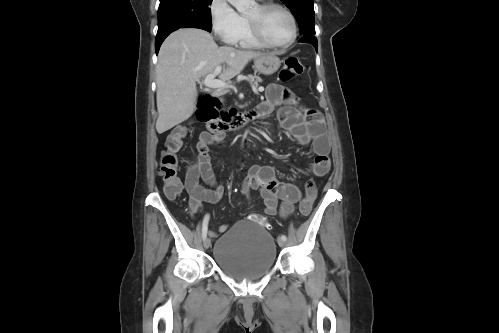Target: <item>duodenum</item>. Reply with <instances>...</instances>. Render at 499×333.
<instances>
[{"instance_id": "obj_1", "label": "duodenum", "mask_w": 499, "mask_h": 333, "mask_svg": "<svg viewBox=\"0 0 499 333\" xmlns=\"http://www.w3.org/2000/svg\"><path fill=\"white\" fill-rule=\"evenodd\" d=\"M218 99L209 94L203 96L198 104L197 114L200 120L208 121L209 132L213 135H224L228 132H236L247 124L252 123L261 116L260 110L252 109L245 112H236L225 119L224 122L212 116Z\"/></svg>"}]
</instances>
